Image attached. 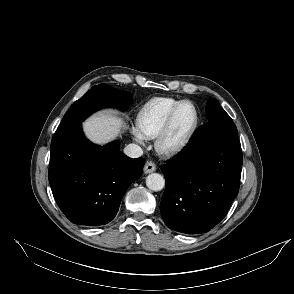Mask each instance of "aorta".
Returning a JSON list of instances; mask_svg holds the SVG:
<instances>
[{
    "label": "aorta",
    "instance_id": "aorta-1",
    "mask_svg": "<svg viewBox=\"0 0 294 294\" xmlns=\"http://www.w3.org/2000/svg\"><path fill=\"white\" fill-rule=\"evenodd\" d=\"M146 185L150 190L160 191L165 186V179L159 173H151L146 177Z\"/></svg>",
    "mask_w": 294,
    "mask_h": 294
}]
</instances>
